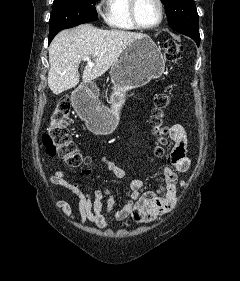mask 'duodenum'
<instances>
[{
  "instance_id": "obj_1",
  "label": "duodenum",
  "mask_w": 240,
  "mask_h": 281,
  "mask_svg": "<svg viewBox=\"0 0 240 281\" xmlns=\"http://www.w3.org/2000/svg\"><path fill=\"white\" fill-rule=\"evenodd\" d=\"M95 94V91L93 89H87L84 95L83 103L86 101V99L92 95Z\"/></svg>"
}]
</instances>
